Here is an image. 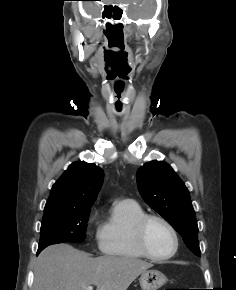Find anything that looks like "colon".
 <instances>
[{
	"instance_id": "1",
	"label": "colon",
	"mask_w": 236,
	"mask_h": 290,
	"mask_svg": "<svg viewBox=\"0 0 236 290\" xmlns=\"http://www.w3.org/2000/svg\"><path fill=\"white\" fill-rule=\"evenodd\" d=\"M164 290H177V289H169V288H166V289H164Z\"/></svg>"
}]
</instances>
